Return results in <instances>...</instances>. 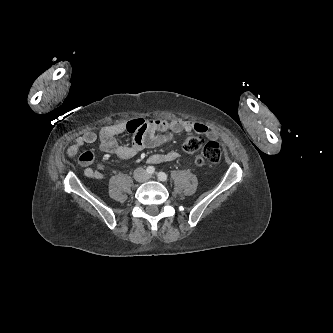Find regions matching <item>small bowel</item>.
<instances>
[{
  "mask_svg": "<svg viewBox=\"0 0 333 333\" xmlns=\"http://www.w3.org/2000/svg\"><path fill=\"white\" fill-rule=\"evenodd\" d=\"M184 131H195L206 136L210 141L217 138L216 133L210 130L205 124L195 121L173 119L170 121L153 118H135L127 122L115 123L99 130L98 133L86 132L76 138L67 148L66 154L75 157L80 150L87 145L98 143L101 150L115 155L120 160H128L135 156L143 148H155L170 141L176 134ZM124 132L131 133L134 141L131 146L121 145L116 137ZM179 153L170 151L165 154H153L149 162L158 164L177 160ZM91 152H83L79 155V164L85 167V176L101 180L104 177L102 170L93 169L90 165L93 162Z\"/></svg>",
  "mask_w": 333,
  "mask_h": 333,
  "instance_id": "1",
  "label": "small bowel"
}]
</instances>
